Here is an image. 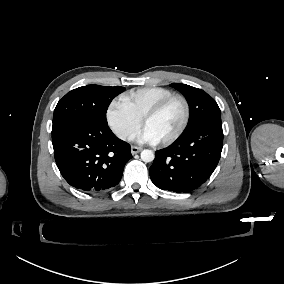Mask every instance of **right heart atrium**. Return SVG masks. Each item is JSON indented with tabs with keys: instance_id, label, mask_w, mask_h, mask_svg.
<instances>
[{
	"instance_id": "right-heart-atrium-1",
	"label": "right heart atrium",
	"mask_w": 284,
	"mask_h": 284,
	"mask_svg": "<svg viewBox=\"0 0 284 284\" xmlns=\"http://www.w3.org/2000/svg\"><path fill=\"white\" fill-rule=\"evenodd\" d=\"M105 120L111 133L122 142H127L141 124V119L122 106L118 99L108 104Z\"/></svg>"
}]
</instances>
